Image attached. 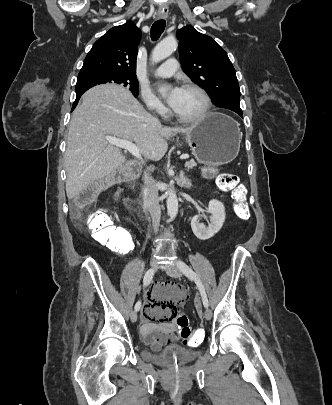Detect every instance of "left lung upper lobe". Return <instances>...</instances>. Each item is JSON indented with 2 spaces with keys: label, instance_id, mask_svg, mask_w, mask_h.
Segmentation results:
<instances>
[{
  "label": "left lung upper lobe",
  "instance_id": "5c2ea615",
  "mask_svg": "<svg viewBox=\"0 0 332 405\" xmlns=\"http://www.w3.org/2000/svg\"><path fill=\"white\" fill-rule=\"evenodd\" d=\"M176 35L184 72L206 90L216 106L235 111L239 107L240 88L226 51L189 25Z\"/></svg>",
  "mask_w": 332,
  "mask_h": 405
}]
</instances>
